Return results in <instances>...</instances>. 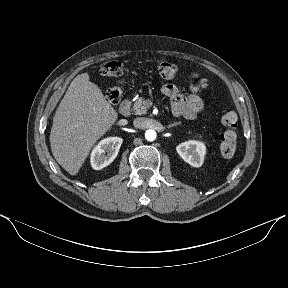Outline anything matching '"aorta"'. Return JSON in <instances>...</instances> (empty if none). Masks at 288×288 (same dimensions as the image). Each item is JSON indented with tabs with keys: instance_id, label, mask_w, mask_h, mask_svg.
Returning <instances> with one entry per match:
<instances>
[{
	"instance_id": "aorta-1",
	"label": "aorta",
	"mask_w": 288,
	"mask_h": 288,
	"mask_svg": "<svg viewBox=\"0 0 288 288\" xmlns=\"http://www.w3.org/2000/svg\"><path fill=\"white\" fill-rule=\"evenodd\" d=\"M145 138L148 141H154L156 139V132L152 129H149L145 132Z\"/></svg>"
}]
</instances>
